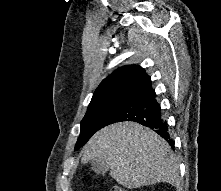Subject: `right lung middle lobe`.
I'll use <instances>...</instances> for the list:
<instances>
[{
  "label": "right lung middle lobe",
  "instance_id": "1",
  "mask_svg": "<svg viewBox=\"0 0 221 191\" xmlns=\"http://www.w3.org/2000/svg\"><path fill=\"white\" fill-rule=\"evenodd\" d=\"M119 100L88 106L87 113L81 121V132L75 145V150L83 146L100 129L101 124Z\"/></svg>",
  "mask_w": 221,
  "mask_h": 191
}]
</instances>
